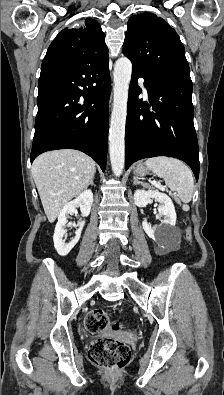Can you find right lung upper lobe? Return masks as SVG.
<instances>
[{
	"label": "right lung upper lobe",
	"instance_id": "obj_1",
	"mask_svg": "<svg viewBox=\"0 0 224 395\" xmlns=\"http://www.w3.org/2000/svg\"><path fill=\"white\" fill-rule=\"evenodd\" d=\"M104 38L99 23L88 18L78 28L63 29L49 46L45 58L55 57L84 66L108 62Z\"/></svg>",
	"mask_w": 224,
	"mask_h": 395
}]
</instances>
